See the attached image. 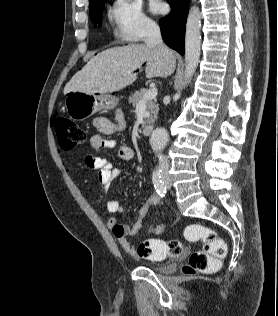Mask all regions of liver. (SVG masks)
<instances>
[{"mask_svg":"<svg viewBox=\"0 0 278 316\" xmlns=\"http://www.w3.org/2000/svg\"><path fill=\"white\" fill-rule=\"evenodd\" d=\"M144 63L147 78H165L171 75L176 67L175 55L166 46L130 44L115 47L92 57L66 84L64 94H104L119 91L136 81L135 71ZM127 71L132 72L128 74ZM106 76L111 79H106Z\"/></svg>","mask_w":278,"mask_h":316,"instance_id":"obj_1","label":"liver"}]
</instances>
